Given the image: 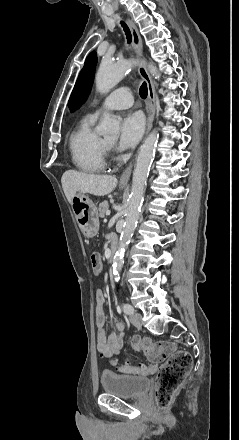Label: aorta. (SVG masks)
<instances>
[{"mask_svg":"<svg viewBox=\"0 0 239 440\" xmlns=\"http://www.w3.org/2000/svg\"><path fill=\"white\" fill-rule=\"evenodd\" d=\"M135 64H137L135 60L134 62L125 60L122 64H113L112 60H102L95 76L98 92H100V94H107V92H110L114 86H117V84L125 78L126 72L131 70L132 66H135ZM148 68L151 74H155L156 76V66L149 64ZM119 130V120H117L116 116H111V114H104L100 126H97L96 128L97 134H99V136H104V138H116L119 134ZM157 140V132L156 130H153L148 138H146L144 144H142L136 160L132 178L131 194L128 208H126L124 230L120 236L118 250L113 258L112 268L115 282H118L120 278V272L124 264L125 250L139 220L150 164L151 160H153Z\"/></svg>","mask_w":239,"mask_h":440,"instance_id":"1","label":"aorta"}]
</instances>
